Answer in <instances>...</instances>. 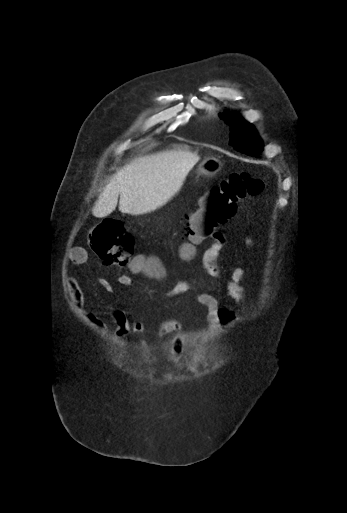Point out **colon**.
<instances>
[{
	"label": "colon",
	"instance_id": "obj_1",
	"mask_svg": "<svg viewBox=\"0 0 347 513\" xmlns=\"http://www.w3.org/2000/svg\"><path fill=\"white\" fill-rule=\"evenodd\" d=\"M263 189V181L249 172L233 173L208 189L200 197L197 210L186 221L184 233L188 243L182 249L183 254L192 256L193 244L211 236L235 215L240 201L259 195ZM89 242L104 264L125 266L130 262L133 239L118 219L107 218L97 224L89 233ZM132 267L155 275L162 274V267L157 261L145 264L136 260Z\"/></svg>",
	"mask_w": 347,
	"mask_h": 513
}]
</instances>
